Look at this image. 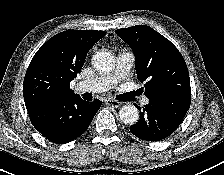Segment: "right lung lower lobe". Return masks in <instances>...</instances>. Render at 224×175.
<instances>
[{"label": "right lung lower lobe", "instance_id": "98d812e1", "mask_svg": "<svg viewBox=\"0 0 224 175\" xmlns=\"http://www.w3.org/2000/svg\"><path fill=\"white\" fill-rule=\"evenodd\" d=\"M101 101L87 102L79 95L44 98L26 104L33 126L49 141L68 143L89 127Z\"/></svg>", "mask_w": 224, "mask_h": 175}]
</instances>
